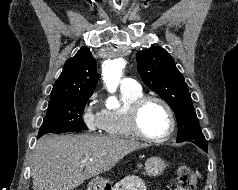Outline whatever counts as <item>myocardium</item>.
<instances>
[{
    "label": "myocardium",
    "mask_w": 238,
    "mask_h": 190,
    "mask_svg": "<svg viewBox=\"0 0 238 190\" xmlns=\"http://www.w3.org/2000/svg\"><path fill=\"white\" fill-rule=\"evenodd\" d=\"M151 102H156L160 104L165 109V111L167 112L169 116V120H170L169 130L160 137H152L146 134L140 125V114L143 108L148 103H151ZM128 120H129V126L133 134L136 137L151 143H160V142L167 141L172 136L176 128V119H175V115L172 108L165 100L157 96H151V95L142 96L136 101H134L129 108Z\"/></svg>",
    "instance_id": "f54148a6"
}]
</instances>
